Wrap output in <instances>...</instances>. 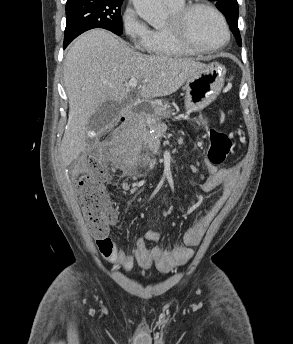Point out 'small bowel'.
Segmentation results:
<instances>
[{
    "instance_id": "1",
    "label": "small bowel",
    "mask_w": 293,
    "mask_h": 344,
    "mask_svg": "<svg viewBox=\"0 0 293 344\" xmlns=\"http://www.w3.org/2000/svg\"><path fill=\"white\" fill-rule=\"evenodd\" d=\"M205 166L207 176L198 185L199 192L209 193L218 186H222L223 190L205 214L189 227L180 244L169 250L159 246L148 248L146 241L157 242L160 238L159 232L152 230L146 233L145 238L136 241L132 252H127L117 246L110 236H104L96 241L101 255L124 271L131 270L135 263L142 268L154 264L163 271L187 263L193 256V247L199 245L207 227L235 189L239 173L238 166L217 168L210 163H206Z\"/></svg>"
}]
</instances>
